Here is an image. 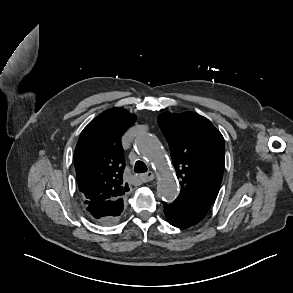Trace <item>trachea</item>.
<instances>
[{"mask_svg":"<svg viewBox=\"0 0 293 293\" xmlns=\"http://www.w3.org/2000/svg\"><path fill=\"white\" fill-rule=\"evenodd\" d=\"M134 171L136 173H145L147 171V166L142 161H137L134 166Z\"/></svg>","mask_w":293,"mask_h":293,"instance_id":"1","label":"trachea"}]
</instances>
